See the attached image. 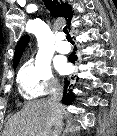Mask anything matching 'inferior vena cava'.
Here are the masks:
<instances>
[{
	"label": "inferior vena cava",
	"instance_id": "1",
	"mask_svg": "<svg viewBox=\"0 0 117 136\" xmlns=\"http://www.w3.org/2000/svg\"><path fill=\"white\" fill-rule=\"evenodd\" d=\"M62 95H63V90L60 86H57L55 91L51 94L50 98H49V102L51 103H56V102H59L62 98ZM50 118L48 119L49 121V124L47 125V136H56V130H55V127L54 125L52 124V114L50 113L48 115Z\"/></svg>",
	"mask_w": 117,
	"mask_h": 136
}]
</instances>
